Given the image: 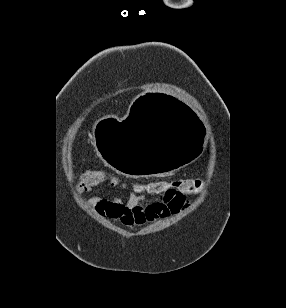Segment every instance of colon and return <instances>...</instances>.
<instances>
[{
  "mask_svg": "<svg viewBox=\"0 0 286 308\" xmlns=\"http://www.w3.org/2000/svg\"><path fill=\"white\" fill-rule=\"evenodd\" d=\"M107 174L103 170H89L78 177L77 190L87 192L107 181ZM117 184L116 180L112 181ZM149 193L165 195L171 190L196 193L203 189L204 183L199 179H181L174 181H154L144 186Z\"/></svg>",
  "mask_w": 286,
  "mask_h": 308,
  "instance_id": "1",
  "label": "colon"
}]
</instances>
